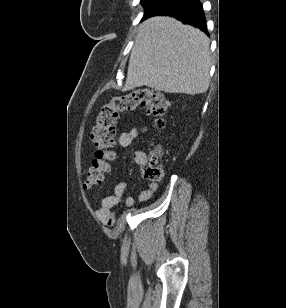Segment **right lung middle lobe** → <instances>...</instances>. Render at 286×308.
Wrapping results in <instances>:
<instances>
[{
  "label": "right lung middle lobe",
  "mask_w": 286,
  "mask_h": 308,
  "mask_svg": "<svg viewBox=\"0 0 286 308\" xmlns=\"http://www.w3.org/2000/svg\"><path fill=\"white\" fill-rule=\"evenodd\" d=\"M172 0H141L142 5L145 8L144 16L163 8Z\"/></svg>",
  "instance_id": "obj_1"
}]
</instances>
